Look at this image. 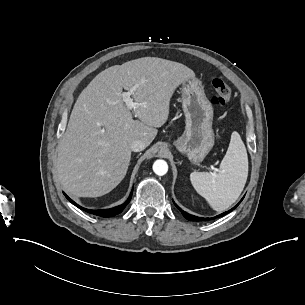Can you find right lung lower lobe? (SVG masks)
I'll list each match as a JSON object with an SVG mask.
<instances>
[{
	"label": "right lung lower lobe",
	"mask_w": 305,
	"mask_h": 305,
	"mask_svg": "<svg viewBox=\"0 0 305 305\" xmlns=\"http://www.w3.org/2000/svg\"><path fill=\"white\" fill-rule=\"evenodd\" d=\"M65 196L71 203H73L74 205H76L77 207H79L80 209H82L86 212H89V213H92V214H95V215H98L101 217H111V216H115L123 211V209L127 206V204L131 200L132 192H131L129 198L127 199V201H125V203H123L122 205H119L117 207H114L111 209H105V210H89V209L83 208V207L77 205L74 201H72L66 194H65Z\"/></svg>",
	"instance_id": "1"
}]
</instances>
